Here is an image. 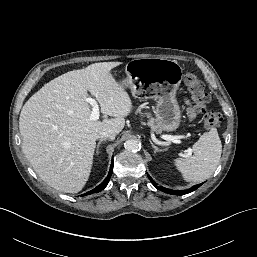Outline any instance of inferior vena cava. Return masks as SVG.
I'll list each match as a JSON object with an SVG mask.
<instances>
[{
	"label": "inferior vena cava",
	"instance_id": "602c4592",
	"mask_svg": "<svg viewBox=\"0 0 257 257\" xmlns=\"http://www.w3.org/2000/svg\"><path fill=\"white\" fill-rule=\"evenodd\" d=\"M116 134L110 131H102L98 134V138L101 139H115Z\"/></svg>",
	"mask_w": 257,
	"mask_h": 257
}]
</instances>
